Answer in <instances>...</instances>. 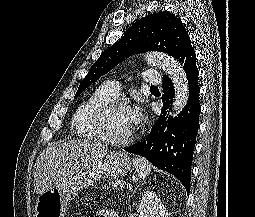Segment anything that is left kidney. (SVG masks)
Masks as SVG:
<instances>
[{
	"instance_id": "left-kidney-1",
	"label": "left kidney",
	"mask_w": 255,
	"mask_h": 217,
	"mask_svg": "<svg viewBox=\"0 0 255 217\" xmlns=\"http://www.w3.org/2000/svg\"><path fill=\"white\" fill-rule=\"evenodd\" d=\"M138 217H167L164 205L153 190L142 194Z\"/></svg>"
}]
</instances>
